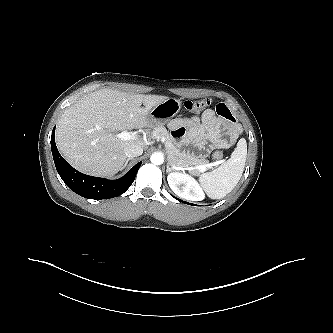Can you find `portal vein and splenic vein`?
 I'll return each instance as SVG.
<instances>
[{"instance_id":"obj_1","label":"portal vein and splenic vein","mask_w":333,"mask_h":333,"mask_svg":"<svg viewBox=\"0 0 333 333\" xmlns=\"http://www.w3.org/2000/svg\"><path fill=\"white\" fill-rule=\"evenodd\" d=\"M118 138L122 139V140H130L136 137L135 134H131L128 131H122L121 133L117 134ZM164 140V138H162V141ZM221 162H218V164H220ZM213 166L212 164H203V165H198L195 167H192L194 170H198L200 172H205L207 170L208 167Z\"/></svg>"}]
</instances>
